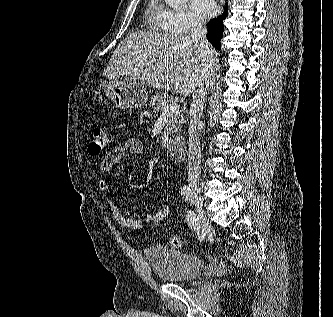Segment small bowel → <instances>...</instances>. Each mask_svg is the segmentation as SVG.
<instances>
[{
	"mask_svg": "<svg viewBox=\"0 0 333 317\" xmlns=\"http://www.w3.org/2000/svg\"><path fill=\"white\" fill-rule=\"evenodd\" d=\"M143 150L144 146L140 139L135 137L128 138L123 144L110 150L103 158L99 167L98 186L112 214V217L116 223L129 230H138L141 229L146 223H151L153 221V213L146 214L142 219H132L126 217L114 200L107 176L123 159L128 156L141 155Z\"/></svg>",
	"mask_w": 333,
	"mask_h": 317,
	"instance_id": "c3829d8e",
	"label": "small bowel"
}]
</instances>
